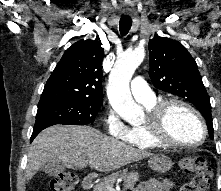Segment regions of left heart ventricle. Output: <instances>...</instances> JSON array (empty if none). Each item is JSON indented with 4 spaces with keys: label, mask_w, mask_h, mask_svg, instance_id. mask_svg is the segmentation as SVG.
Masks as SVG:
<instances>
[{
    "label": "left heart ventricle",
    "mask_w": 221,
    "mask_h": 191,
    "mask_svg": "<svg viewBox=\"0 0 221 191\" xmlns=\"http://www.w3.org/2000/svg\"><path fill=\"white\" fill-rule=\"evenodd\" d=\"M171 137L179 142L195 143L202 137V130L197 119L187 110L177 107L169 116Z\"/></svg>",
    "instance_id": "b2bd125f"
}]
</instances>
